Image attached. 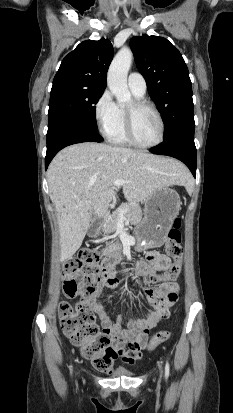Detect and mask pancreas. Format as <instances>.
Masks as SVG:
<instances>
[{"label": "pancreas", "mask_w": 233, "mask_h": 413, "mask_svg": "<svg viewBox=\"0 0 233 413\" xmlns=\"http://www.w3.org/2000/svg\"><path fill=\"white\" fill-rule=\"evenodd\" d=\"M120 210L124 212V220L126 223H130L132 225H137L142 220V211L138 205L133 204H122L118 210L113 212L108 217L104 218L102 222V231L104 235H108L113 233L117 230V223L119 218Z\"/></svg>", "instance_id": "obj_1"}]
</instances>
